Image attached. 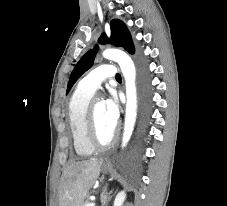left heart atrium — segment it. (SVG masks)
<instances>
[{"mask_svg": "<svg viewBox=\"0 0 227 206\" xmlns=\"http://www.w3.org/2000/svg\"><path fill=\"white\" fill-rule=\"evenodd\" d=\"M104 105L106 118L112 127L115 128L120 115L118 100L114 95H111L105 100Z\"/></svg>", "mask_w": 227, "mask_h": 206, "instance_id": "obj_1", "label": "left heart atrium"}]
</instances>
